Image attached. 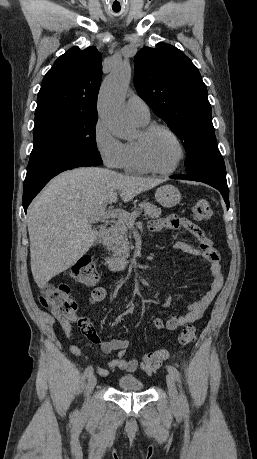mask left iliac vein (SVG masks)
I'll list each match as a JSON object with an SVG mask.
<instances>
[{
  "label": "left iliac vein",
  "instance_id": "1",
  "mask_svg": "<svg viewBox=\"0 0 257 459\" xmlns=\"http://www.w3.org/2000/svg\"><path fill=\"white\" fill-rule=\"evenodd\" d=\"M166 382L169 391L170 403L174 409H178L180 407V400L178 397V392L175 384V380L171 374L166 376Z\"/></svg>",
  "mask_w": 257,
  "mask_h": 459
}]
</instances>
